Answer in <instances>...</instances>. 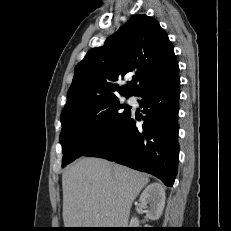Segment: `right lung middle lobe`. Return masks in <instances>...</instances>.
Segmentation results:
<instances>
[{
    "instance_id": "right-lung-middle-lobe-1",
    "label": "right lung middle lobe",
    "mask_w": 231,
    "mask_h": 231,
    "mask_svg": "<svg viewBox=\"0 0 231 231\" xmlns=\"http://www.w3.org/2000/svg\"><path fill=\"white\" fill-rule=\"evenodd\" d=\"M125 109L122 111L121 109ZM126 104L114 99L101 105L61 115L59 141L63 148L62 167L109 140L130 115Z\"/></svg>"
}]
</instances>
